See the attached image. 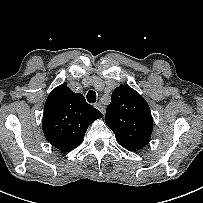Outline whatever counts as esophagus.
<instances>
[{"mask_svg": "<svg viewBox=\"0 0 203 203\" xmlns=\"http://www.w3.org/2000/svg\"><path fill=\"white\" fill-rule=\"evenodd\" d=\"M95 108H97L102 114L104 113V108L100 103H96Z\"/></svg>", "mask_w": 203, "mask_h": 203, "instance_id": "1", "label": "esophagus"}]
</instances>
